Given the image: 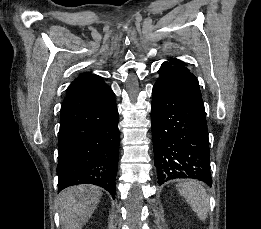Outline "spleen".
Returning <instances> with one entry per match:
<instances>
[{
	"mask_svg": "<svg viewBox=\"0 0 261 229\" xmlns=\"http://www.w3.org/2000/svg\"><path fill=\"white\" fill-rule=\"evenodd\" d=\"M176 187L178 193L186 199L192 211L197 213L198 219H200V221H206L209 211V199L203 185H201L199 181L186 179V181H182V183H179Z\"/></svg>",
	"mask_w": 261,
	"mask_h": 229,
	"instance_id": "3e777b00",
	"label": "spleen"
}]
</instances>
